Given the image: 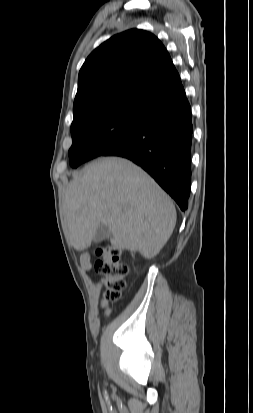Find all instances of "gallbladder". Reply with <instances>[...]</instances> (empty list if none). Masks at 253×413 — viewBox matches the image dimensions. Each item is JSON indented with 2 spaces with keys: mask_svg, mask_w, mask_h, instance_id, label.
Wrapping results in <instances>:
<instances>
[{
  "mask_svg": "<svg viewBox=\"0 0 253 413\" xmlns=\"http://www.w3.org/2000/svg\"><path fill=\"white\" fill-rule=\"evenodd\" d=\"M111 234L108 226L100 224L94 234L93 241L96 243L102 242L107 239Z\"/></svg>",
  "mask_w": 253,
  "mask_h": 413,
  "instance_id": "1",
  "label": "gallbladder"
}]
</instances>
